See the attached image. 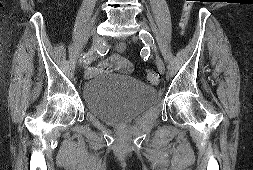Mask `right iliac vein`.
I'll list each match as a JSON object with an SVG mask.
<instances>
[{"mask_svg": "<svg viewBox=\"0 0 253 170\" xmlns=\"http://www.w3.org/2000/svg\"><path fill=\"white\" fill-rule=\"evenodd\" d=\"M92 39H93V43H96L98 40V34L97 32H93L92 34ZM95 58V54H94V49L91 50L90 54L88 55L87 59L84 61V68L87 70L88 67L91 65V63L93 62ZM85 77H90V74L88 73V71H86L85 73Z\"/></svg>", "mask_w": 253, "mask_h": 170, "instance_id": "obj_1", "label": "right iliac vein"}]
</instances>
